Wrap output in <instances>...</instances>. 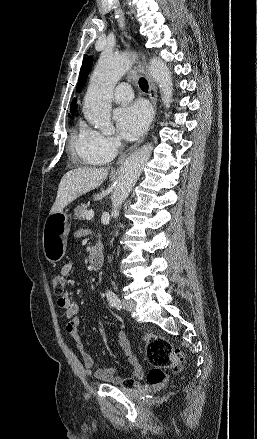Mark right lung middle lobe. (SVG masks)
Here are the masks:
<instances>
[{
    "mask_svg": "<svg viewBox=\"0 0 257 439\" xmlns=\"http://www.w3.org/2000/svg\"><path fill=\"white\" fill-rule=\"evenodd\" d=\"M72 114H74L75 112H71ZM69 116H70V114H69Z\"/></svg>",
    "mask_w": 257,
    "mask_h": 439,
    "instance_id": "dd1d6c3e",
    "label": "right lung middle lobe"
}]
</instances>
